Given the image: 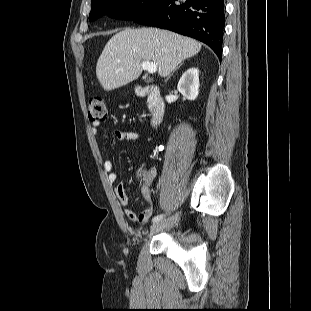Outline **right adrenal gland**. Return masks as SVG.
<instances>
[{
	"mask_svg": "<svg viewBox=\"0 0 311 311\" xmlns=\"http://www.w3.org/2000/svg\"><path fill=\"white\" fill-rule=\"evenodd\" d=\"M181 65H182V63H181L175 70H177L178 68H180ZM175 70H174V71H175ZM174 71H173V73H174ZM173 73H172V74H173ZM172 74H171V75H172ZM171 75H169L165 81H167V80L170 78Z\"/></svg>",
	"mask_w": 311,
	"mask_h": 311,
	"instance_id": "obj_1",
	"label": "right adrenal gland"
}]
</instances>
